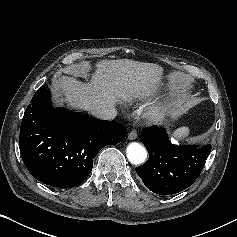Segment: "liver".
<instances>
[{
	"label": "liver",
	"mask_w": 237,
	"mask_h": 237,
	"mask_svg": "<svg viewBox=\"0 0 237 237\" xmlns=\"http://www.w3.org/2000/svg\"><path fill=\"white\" fill-rule=\"evenodd\" d=\"M94 68L89 82L59 77L56 90L71 107L91 112L114 107L119 99L147 98L155 92L163 73L157 64L130 59L102 60Z\"/></svg>",
	"instance_id": "1"
}]
</instances>
